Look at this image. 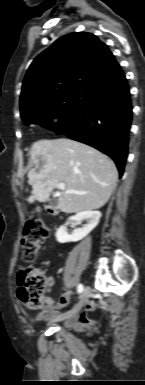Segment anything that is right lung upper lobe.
Instances as JSON below:
<instances>
[{
  "label": "right lung upper lobe",
  "mask_w": 145,
  "mask_h": 385,
  "mask_svg": "<svg viewBox=\"0 0 145 385\" xmlns=\"http://www.w3.org/2000/svg\"><path fill=\"white\" fill-rule=\"evenodd\" d=\"M122 74L113 54L95 35L67 34L30 65L20 97L21 116L68 91H94Z\"/></svg>",
  "instance_id": "right-lung-upper-lobe-1"
}]
</instances>
